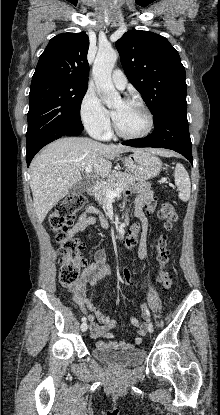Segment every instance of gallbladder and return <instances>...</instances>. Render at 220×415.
Returning <instances> with one entry per match:
<instances>
[{"instance_id":"1","label":"gallbladder","mask_w":220,"mask_h":415,"mask_svg":"<svg viewBox=\"0 0 220 415\" xmlns=\"http://www.w3.org/2000/svg\"><path fill=\"white\" fill-rule=\"evenodd\" d=\"M88 188V184L85 180H80L74 186H72L69 190V194L71 195H80L85 192Z\"/></svg>"}]
</instances>
